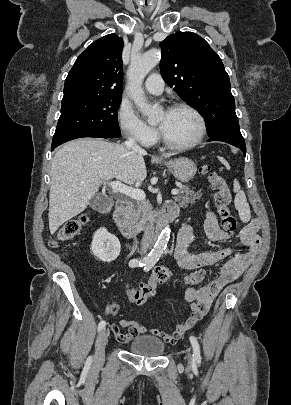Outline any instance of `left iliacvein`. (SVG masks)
Instances as JSON below:
<instances>
[{
  "mask_svg": "<svg viewBox=\"0 0 291 405\" xmlns=\"http://www.w3.org/2000/svg\"><path fill=\"white\" fill-rule=\"evenodd\" d=\"M188 358L190 359V353H188Z\"/></svg>",
  "mask_w": 291,
  "mask_h": 405,
  "instance_id": "left-iliac-vein-1",
  "label": "left iliac vein"
}]
</instances>
